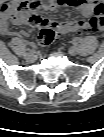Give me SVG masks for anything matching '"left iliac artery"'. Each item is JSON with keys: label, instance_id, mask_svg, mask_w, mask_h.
Instances as JSON below:
<instances>
[{"label": "left iliac artery", "instance_id": "1", "mask_svg": "<svg viewBox=\"0 0 104 137\" xmlns=\"http://www.w3.org/2000/svg\"><path fill=\"white\" fill-rule=\"evenodd\" d=\"M73 42L77 44L79 42V38L73 39Z\"/></svg>", "mask_w": 104, "mask_h": 137}]
</instances>
